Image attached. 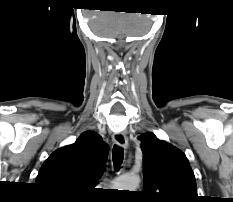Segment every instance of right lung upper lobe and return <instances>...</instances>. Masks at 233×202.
<instances>
[{
  "label": "right lung upper lobe",
  "mask_w": 233,
  "mask_h": 202,
  "mask_svg": "<svg viewBox=\"0 0 233 202\" xmlns=\"http://www.w3.org/2000/svg\"><path fill=\"white\" fill-rule=\"evenodd\" d=\"M107 148L97 133L87 131L43 163L36 183L59 196L84 195L103 174Z\"/></svg>",
  "instance_id": "1"
}]
</instances>
